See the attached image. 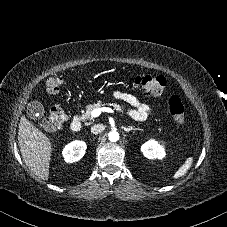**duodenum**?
<instances>
[{
  "instance_id": "410a0bca",
  "label": "duodenum",
  "mask_w": 227,
  "mask_h": 227,
  "mask_svg": "<svg viewBox=\"0 0 227 227\" xmlns=\"http://www.w3.org/2000/svg\"><path fill=\"white\" fill-rule=\"evenodd\" d=\"M73 132H79L82 129V119L79 115H75L70 123Z\"/></svg>"
}]
</instances>
